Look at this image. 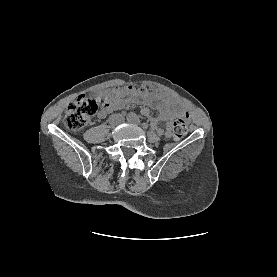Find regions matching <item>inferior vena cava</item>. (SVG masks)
<instances>
[{
	"mask_svg": "<svg viewBox=\"0 0 277 277\" xmlns=\"http://www.w3.org/2000/svg\"><path fill=\"white\" fill-rule=\"evenodd\" d=\"M119 119H120V122H119V123L124 122V117H123V116H120Z\"/></svg>",
	"mask_w": 277,
	"mask_h": 277,
	"instance_id": "602c4592",
	"label": "inferior vena cava"
}]
</instances>
